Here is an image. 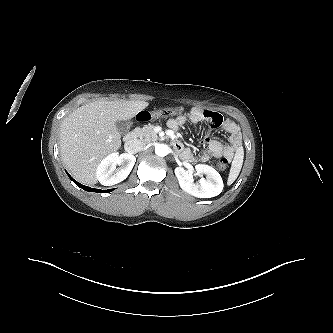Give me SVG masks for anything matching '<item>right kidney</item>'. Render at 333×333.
Masks as SVG:
<instances>
[{
  "label": "right kidney",
  "instance_id": "right-kidney-1",
  "mask_svg": "<svg viewBox=\"0 0 333 333\" xmlns=\"http://www.w3.org/2000/svg\"><path fill=\"white\" fill-rule=\"evenodd\" d=\"M136 158L129 153H112L105 157L98 165L96 175L104 186L120 183L130 174ZM119 168H116V166Z\"/></svg>",
  "mask_w": 333,
  "mask_h": 333
}]
</instances>
